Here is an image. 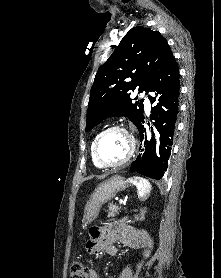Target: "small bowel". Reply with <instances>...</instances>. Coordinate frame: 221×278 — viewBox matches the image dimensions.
<instances>
[{
    "instance_id": "small-bowel-1",
    "label": "small bowel",
    "mask_w": 221,
    "mask_h": 278,
    "mask_svg": "<svg viewBox=\"0 0 221 278\" xmlns=\"http://www.w3.org/2000/svg\"><path fill=\"white\" fill-rule=\"evenodd\" d=\"M117 242L131 248H144L150 244V238L145 231L136 229L127 221L120 219L94 228L86 246L90 253L115 256L119 253L114 245ZM89 278H99L97 270L90 269Z\"/></svg>"
}]
</instances>
